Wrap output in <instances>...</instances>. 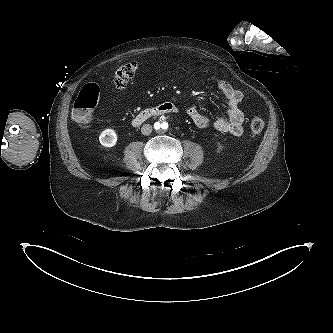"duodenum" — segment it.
Here are the masks:
<instances>
[{
  "label": "duodenum",
  "instance_id": "410a0bca",
  "mask_svg": "<svg viewBox=\"0 0 333 333\" xmlns=\"http://www.w3.org/2000/svg\"><path fill=\"white\" fill-rule=\"evenodd\" d=\"M177 110L178 109L175 104H173L172 102H165L158 106L142 110L132 119V124L134 126H140L150 118L161 116L168 113H176Z\"/></svg>",
  "mask_w": 333,
  "mask_h": 333
}]
</instances>
